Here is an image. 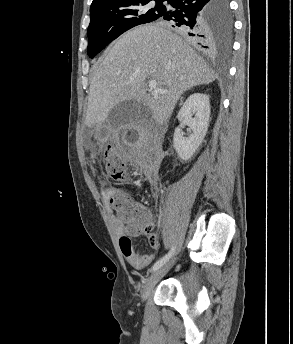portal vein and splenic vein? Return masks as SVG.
<instances>
[{"mask_svg": "<svg viewBox=\"0 0 293 344\" xmlns=\"http://www.w3.org/2000/svg\"><path fill=\"white\" fill-rule=\"evenodd\" d=\"M149 90L153 92L154 94H165L167 93V90L161 89L158 87L157 82L155 80H151L149 82Z\"/></svg>", "mask_w": 293, "mask_h": 344, "instance_id": "18ae733b", "label": "portal vein and splenic vein"}]
</instances>
